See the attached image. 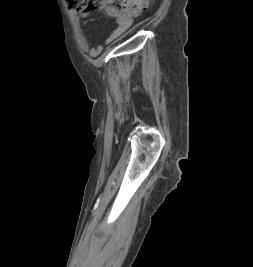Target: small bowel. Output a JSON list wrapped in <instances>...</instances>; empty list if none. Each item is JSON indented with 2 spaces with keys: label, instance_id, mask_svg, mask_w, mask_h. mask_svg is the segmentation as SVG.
Masks as SVG:
<instances>
[{
  "label": "small bowel",
  "instance_id": "1",
  "mask_svg": "<svg viewBox=\"0 0 253 267\" xmlns=\"http://www.w3.org/2000/svg\"><path fill=\"white\" fill-rule=\"evenodd\" d=\"M106 12L109 17L113 18L116 21L115 28L109 33L104 44H97L95 46H90L80 24V19L76 13H71V20L73 27L76 33L77 42L80 48L89 53L92 57L98 56L104 49L106 44H110L116 39H118L122 34H124L129 27L132 25V18L126 16L122 13H119L113 7L106 8Z\"/></svg>",
  "mask_w": 253,
  "mask_h": 267
}]
</instances>
